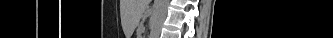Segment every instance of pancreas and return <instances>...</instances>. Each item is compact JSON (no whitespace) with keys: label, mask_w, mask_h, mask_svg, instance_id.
I'll return each instance as SVG.
<instances>
[{"label":"pancreas","mask_w":333,"mask_h":38,"mask_svg":"<svg viewBox=\"0 0 333 38\" xmlns=\"http://www.w3.org/2000/svg\"><path fill=\"white\" fill-rule=\"evenodd\" d=\"M139 31L142 32L143 31V26L139 27Z\"/></svg>","instance_id":"pancreas-1"}]
</instances>
